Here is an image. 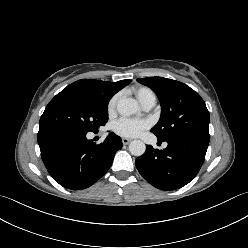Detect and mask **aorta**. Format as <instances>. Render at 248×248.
<instances>
[{"label": "aorta", "mask_w": 248, "mask_h": 248, "mask_svg": "<svg viewBox=\"0 0 248 248\" xmlns=\"http://www.w3.org/2000/svg\"><path fill=\"white\" fill-rule=\"evenodd\" d=\"M117 111L123 116H131L139 111L138 102L135 99L127 98L118 102ZM146 145L141 140H133L129 144V151L134 156H141L145 153Z\"/></svg>", "instance_id": "762f6f07"}]
</instances>
